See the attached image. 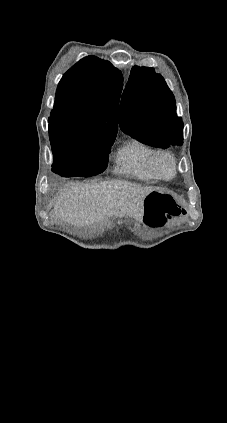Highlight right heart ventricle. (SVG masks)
Instances as JSON below:
<instances>
[{"instance_id":"right-heart-ventricle-1","label":"right heart ventricle","mask_w":227,"mask_h":423,"mask_svg":"<svg viewBox=\"0 0 227 423\" xmlns=\"http://www.w3.org/2000/svg\"><path fill=\"white\" fill-rule=\"evenodd\" d=\"M155 152L153 147L143 141L130 139L117 151L115 172L148 182L162 180L153 164Z\"/></svg>"}]
</instances>
